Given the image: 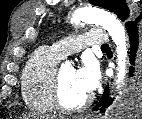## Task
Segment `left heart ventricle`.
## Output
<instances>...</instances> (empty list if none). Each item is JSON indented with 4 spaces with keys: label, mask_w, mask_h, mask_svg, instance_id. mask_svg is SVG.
I'll use <instances>...</instances> for the list:
<instances>
[{
    "label": "left heart ventricle",
    "mask_w": 142,
    "mask_h": 119,
    "mask_svg": "<svg viewBox=\"0 0 142 119\" xmlns=\"http://www.w3.org/2000/svg\"><path fill=\"white\" fill-rule=\"evenodd\" d=\"M61 98L66 106H74L83 101L88 95L83 93L76 84L75 70L65 67L61 71Z\"/></svg>",
    "instance_id": "1"
}]
</instances>
